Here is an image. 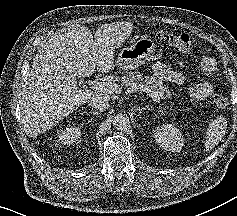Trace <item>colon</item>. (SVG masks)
<instances>
[{"mask_svg": "<svg viewBox=\"0 0 237 216\" xmlns=\"http://www.w3.org/2000/svg\"><path fill=\"white\" fill-rule=\"evenodd\" d=\"M161 36L174 48L187 52L191 49L192 42L188 34H161ZM214 104L220 109H224L228 105V99L225 95L216 94L213 98Z\"/></svg>", "mask_w": 237, "mask_h": 216, "instance_id": "colon-1", "label": "colon"}]
</instances>
